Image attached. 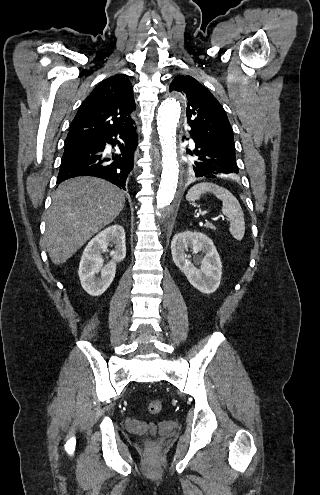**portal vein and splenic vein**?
<instances>
[{
	"mask_svg": "<svg viewBox=\"0 0 320 495\" xmlns=\"http://www.w3.org/2000/svg\"><path fill=\"white\" fill-rule=\"evenodd\" d=\"M211 219L216 221V220H218V219H219V217H216V218H211Z\"/></svg>",
	"mask_w": 320,
	"mask_h": 495,
	"instance_id": "obj_1",
	"label": "portal vein and splenic vein"
}]
</instances>
